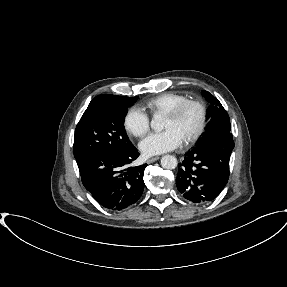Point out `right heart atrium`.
<instances>
[{
    "label": "right heart atrium",
    "mask_w": 287,
    "mask_h": 287,
    "mask_svg": "<svg viewBox=\"0 0 287 287\" xmlns=\"http://www.w3.org/2000/svg\"><path fill=\"white\" fill-rule=\"evenodd\" d=\"M123 124L130 135L143 137L149 131L150 118L141 108L133 107L126 112Z\"/></svg>",
    "instance_id": "right-heart-atrium-1"
}]
</instances>
